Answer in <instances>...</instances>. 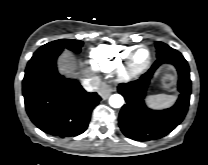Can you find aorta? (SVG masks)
Returning <instances> with one entry per match:
<instances>
[{"label":"aorta","instance_id":"aorta-1","mask_svg":"<svg viewBox=\"0 0 208 165\" xmlns=\"http://www.w3.org/2000/svg\"><path fill=\"white\" fill-rule=\"evenodd\" d=\"M109 104L113 108H120L124 104V99L120 94H113L109 98Z\"/></svg>","mask_w":208,"mask_h":165}]
</instances>
